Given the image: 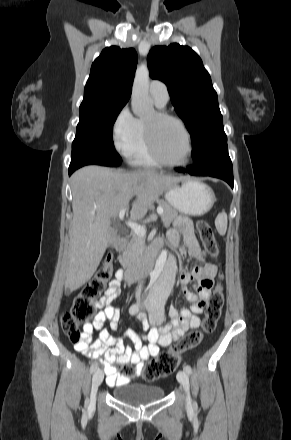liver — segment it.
I'll return each mask as SVG.
<instances>
[{
    "instance_id": "obj_1",
    "label": "liver",
    "mask_w": 291,
    "mask_h": 440,
    "mask_svg": "<svg viewBox=\"0 0 291 440\" xmlns=\"http://www.w3.org/2000/svg\"><path fill=\"white\" fill-rule=\"evenodd\" d=\"M181 178L153 170L120 172L91 165L72 177L73 220L65 287L73 292L87 283L97 270L106 249L117 242L111 220L121 209L130 219L141 220L153 203Z\"/></svg>"
}]
</instances>
